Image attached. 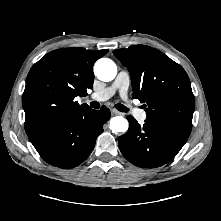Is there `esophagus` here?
I'll return each mask as SVG.
<instances>
[{"label": "esophagus", "instance_id": "obj_1", "mask_svg": "<svg viewBox=\"0 0 221 221\" xmlns=\"http://www.w3.org/2000/svg\"><path fill=\"white\" fill-rule=\"evenodd\" d=\"M111 113H112L113 115H120V114H121V112H119V111L116 110V109H112V110H111Z\"/></svg>", "mask_w": 221, "mask_h": 221}]
</instances>
